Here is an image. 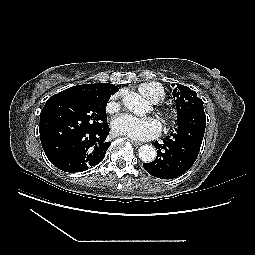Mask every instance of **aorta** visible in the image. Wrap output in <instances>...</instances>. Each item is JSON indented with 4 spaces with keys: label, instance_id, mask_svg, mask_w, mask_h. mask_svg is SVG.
Returning <instances> with one entry per match:
<instances>
[{
    "label": "aorta",
    "instance_id": "obj_1",
    "mask_svg": "<svg viewBox=\"0 0 255 255\" xmlns=\"http://www.w3.org/2000/svg\"><path fill=\"white\" fill-rule=\"evenodd\" d=\"M123 104L127 109L132 111L136 115H141L143 110V100L136 93H127L122 98ZM139 158L145 162H153L156 158V149L152 145H143L138 151Z\"/></svg>",
    "mask_w": 255,
    "mask_h": 255
}]
</instances>
